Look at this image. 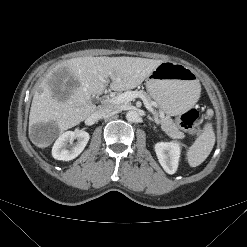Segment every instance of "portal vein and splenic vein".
<instances>
[{"instance_id": "obj_1", "label": "portal vein and splenic vein", "mask_w": 247, "mask_h": 247, "mask_svg": "<svg viewBox=\"0 0 247 247\" xmlns=\"http://www.w3.org/2000/svg\"><path fill=\"white\" fill-rule=\"evenodd\" d=\"M141 98L143 103H144V106L146 107V109L152 113L154 116H155V121L157 123L158 122V119L156 117V113L154 111V109L152 108L151 104L144 98L143 95L135 92V91H127V92H124L114 98H111V99H105V102L107 103H111V104H121V103H124V102H129V101H132L134 98Z\"/></svg>"}]
</instances>
